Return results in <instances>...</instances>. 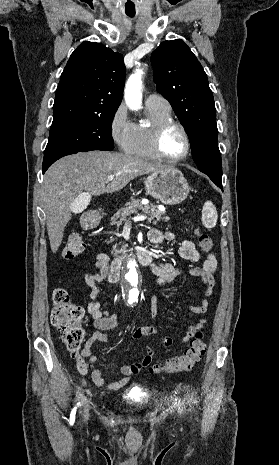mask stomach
Returning <instances> with one entry per match:
<instances>
[{
	"label": "stomach",
	"instance_id": "obj_1",
	"mask_svg": "<svg viewBox=\"0 0 279 465\" xmlns=\"http://www.w3.org/2000/svg\"><path fill=\"white\" fill-rule=\"evenodd\" d=\"M146 192L165 205H176L183 202L189 194L188 182L182 172L174 167H167L153 172L145 179ZM101 215L92 212L82 224L92 228L99 224Z\"/></svg>",
	"mask_w": 279,
	"mask_h": 465
}]
</instances>
